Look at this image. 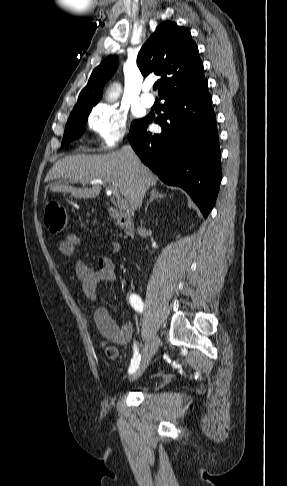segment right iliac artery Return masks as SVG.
I'll use <instances>...</instances> for the list:
<instances>
[{
  "mask_svg": "<svg viewBox=\"0 0 287 486\" xmlns=\"http://www.w3.org/2000/svg\"><path fill=\"white\" fill-rule=\"evenodd\" d=\"M129 301H130V304L131 306L137 311V312H142L143 310V302L141 300V298L136 295V294H131L130 297H129ZM140 360H141V356L138 352V349L136 347V345H134V354H133V358L131 360V365L129 367V372L130 373H134L138 367H139V364H140Z\"/></svg>",
  "mask_w": 287,
  "mask_h": 486,
  "instance_id": "82829eb1",
  "label": "right iliac artery"
}]
</instances>
